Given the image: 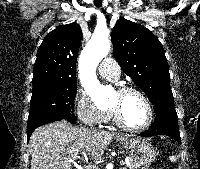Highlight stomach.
Segmentation results:
<instances>
[{
  "label": "stomach",
  "instance_id": "0dacf381",
  "mask_svg": "<svg viewBox=\"0 0 200 169\" xmlns=\"http://www.w3.org/2000/svg\"><path fill=\"white\" fill-rule=\"evenodd\" d=\"M119 141L138 167L150 164L156 157L155 149L144 139L120 137Z\"/></svg>",
  "mask_w": 200,
  "mask_h": 169
}]
</instances>
